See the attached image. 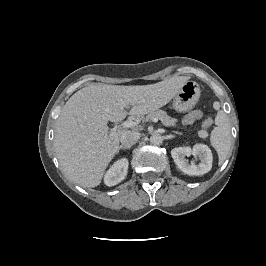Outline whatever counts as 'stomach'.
I'll list each match as a JSON object with an SVG mask.
<instances>
[{"label":"stomach","mask_w":266,"mask_h":266,"mask_svg":"<svg viewBox=\"0 0 266 266\" xmlns=\"http://www.w3.org/2000/svg\"><path fill=\"white\" fill-rule=\"evenodd\" d=\"M200 86L194 81H186L173 97V108L177 112L191 110L200 97Z\"/></svg>","instance_id":"obj_1"}]
</instances>
